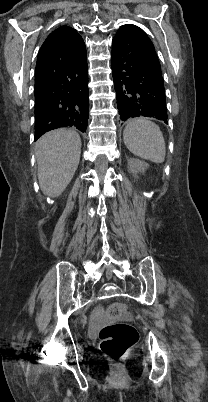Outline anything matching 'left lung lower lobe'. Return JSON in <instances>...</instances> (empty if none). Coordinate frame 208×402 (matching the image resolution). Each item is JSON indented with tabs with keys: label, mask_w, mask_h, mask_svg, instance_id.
<instances>
[{
	"label": "left lung lower lobe",
	"mask_w": 208,
	"mask_h": 402,
	"mask_svg": "<svg viewBox=\"0 0 208 402\" xmlns=\"http://www.w3.org/2000/svg\"><path fill=\"white\" fill-rule=\"evenodd\" d=\"M149 38L135 25H123L112 41L111 68L120 120L152 117L167 121L162 74L148 61Z\"/></svg>",
	"instance_id": "left-lung-lower-lobe-1"
}]
</instances>
